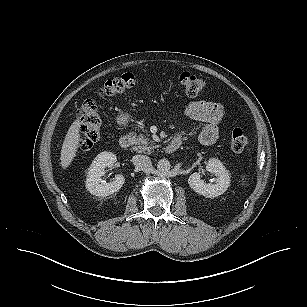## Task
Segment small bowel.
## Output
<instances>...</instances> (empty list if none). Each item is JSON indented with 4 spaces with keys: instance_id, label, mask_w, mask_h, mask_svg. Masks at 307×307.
I'll return each mask as SVG.
<instances>
[{
    "instance_id": "c3829d8e",
    "label": "small bowel",
    "mask_w": 307,
    "mask_h": 307,
    "mask_svg": "<svg viewBox=\"0 0 307 307\" xmlns=\"http://www.w3.org/2000/svg\"><path fill=\"white\" fill-rule=\"evenodd\" d=\"M185 113L190 119L202 123L198 133L200 143L211 145L218 140V125L225 118V112L220 105L205 100H196L187 105ZM180 137L179 135L177 138L180 139Z\"/></svg>"
}]
</instances>
